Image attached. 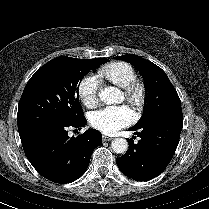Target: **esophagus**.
<instances>
[{
    "label": "esophagus",
    "instance_id": "34e87169",
    "mask_svg": "<svg viewBox=\"0 0 209 209\" xmlns=\"http://www.w3.org/2000/svg\"><path fill=\"white\" fill-rule=\"evenodd\" d=\"M110 140H112L111 137H108V136H106V135H102V141H103V142L110 141Z\"/></svg>",
    "mask_w": 209,
    "mask_h": 209
}]
</instances>
